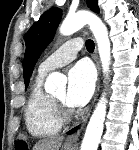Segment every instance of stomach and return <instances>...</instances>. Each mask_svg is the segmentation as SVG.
Instances as JSON below:
<instances>
[{
	"label": "stomach",
	"mask_w": 139,
	"mask_h": 150,
	"mask_svg": "<svg viewBox=\"0 0 139 150\" xmlns=\"http://www.w3.org/2000/svg\"><path fill=\"white\" fill-rule=\"evenodd\" d=\"M63 150H73V147L65 145Z\"/></svg>",
	"instance_id": "stomach-1"
}]
</instances>
